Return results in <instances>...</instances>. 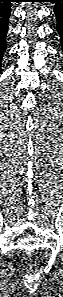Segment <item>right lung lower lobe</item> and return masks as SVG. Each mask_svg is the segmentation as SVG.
I'll return each mask as SVG.
<instances>
[{"label":"right lung lower lobe","instance_id":"obj_1","mask_svg":"<svg viewBox=\"0 0 63 297\" xmlns=\"http://www.w3.org/2000/svg\"><path fill=\"white\" fill-rule=\"evenodd\" d=\"M13 0H0V68L3 54L6 50V35L8 32V20L10 17V4Z\"/></svg>","mask_w":63,"mask_h":297}]
</instances>
